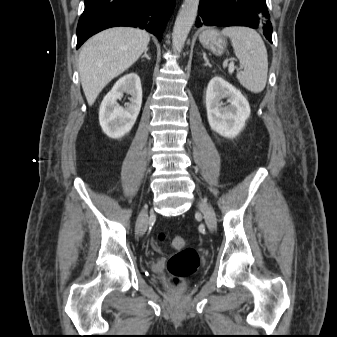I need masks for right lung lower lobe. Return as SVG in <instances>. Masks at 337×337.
Instances as JSON below:
<instances>
[{
    "mask_svg": "<svg viewBox=\"0 0 337 337\" xmlns=\"http://www.w3.org/2000/svg\"><path fill=\"white\" fill-rule=\"evenodd\" d=\"M175 0H85L77 26V49L92 35L115 26L146 29L162 40Z\"/></svg>",
    "mask_w": 337,
    "mask_h": 337,
    "instance_id": "1",
    "label": "right lung lower lobe"
}]
</instances>
